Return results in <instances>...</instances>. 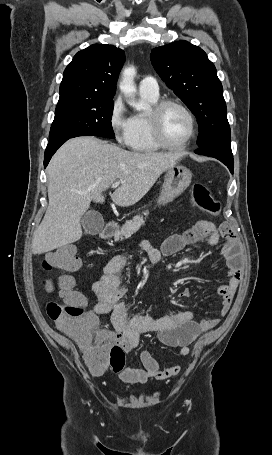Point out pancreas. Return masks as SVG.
<instances>
[{"label":"pancreas","instance_id":"pancreas-1","mask_svg":"<svg viewBox=\"0 0 272 455\" xmlns=\"http://www.w3.org/2000/svg\"><path fill=\"white\" fill-rule=\"evenodd\" d=\"M145 216L148 215V212L144 213ZM145 220L143 216H135L132 220L126 221L125 224L118 230L115 235V241H122L129 238L133 233L138 231L142 225H144Z\"/></svg>","mask_w":272,"mask_h":455}]
</instances>
